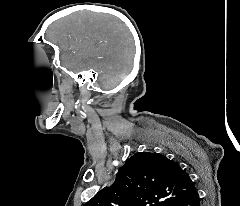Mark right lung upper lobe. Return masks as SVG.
<instances>
[{
  "mask_svg": "<svg viewBox=\"0 0 240 206\" xmlns=\"http://www.w3.org/2000/svg\"><path fill=\"white\" fill-rule=\"evenodd\" d=\"M195 189L173 160L159 153L137 152L120 168L115 183L84 206H169Z\"/></svg>",
  "mask_w": 240,
  "mask_h": 206,
  "instance_id": "right-lung-upper-lobe-1",
  "label": "right lung upper lobe"
}]
</instances>
